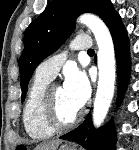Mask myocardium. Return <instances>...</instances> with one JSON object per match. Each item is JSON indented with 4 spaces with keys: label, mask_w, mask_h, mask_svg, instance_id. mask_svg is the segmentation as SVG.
<instances>
[{
    "label": "myocardium",
    "mask_w": 139,
    "mask_h": 150,
    "mask_svg": "<svg viewBox=\"0 0 139 150\" xmlns=\"http://www.w3.org/2000/svg\"><path fill=\"white\" fill-rule=\"evenodd\" d=\"M59 87L49 85L43 95L41 103V118L45 125L54 131L67 130L74 127L81 119L82 112L79 110L74 118L68 122H62L58 119L55 111L54 91Z\"/></svg>",
    "instance_id": "1"
}]
</instances>
